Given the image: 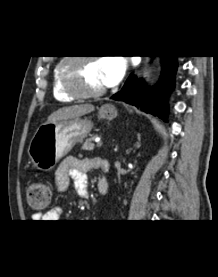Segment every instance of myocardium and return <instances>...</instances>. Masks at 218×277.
<instances>
[{"instance_id": "1", "label": "myocardium", "mask_w": 218, "mask_h": 277, "mask_svg": "<svg viewBox=\"0 0 218 277\" xmlns=\"http://www.w3.org/2000/svg\"><path fill=\"white\" fill-rule=\"evenodd\" d=\"M95 60L94 57H71L60 62L58 66L59 80L62 90L77 99L95 98L103 95L106 88L93 91H85L81 88L78 79L77 67L87 61Z\"/></svg>"}]
</instances>
